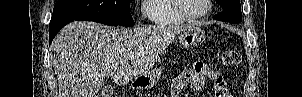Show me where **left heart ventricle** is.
Wrapping results in <instances>:
<instances>
[{"label":"left heart ventricle","instance_id":"left-heart-ventricle-1","mask_svg":"<svg viewBox=\"0 0 302 97\" xmlns=\"http://www.w3.org/2000/svg\"><path fill=\"white\" fill-rule=\"evenodd\" d=\"M183 11L189 15H198L205 10V0H180Z\"/></svg>","mask_w":302,"mask_h":97}]
</instances>
